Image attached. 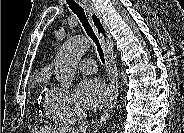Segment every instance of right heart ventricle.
I'll return each instance as SVG.
<instances>
[{"instance_id": "e07e8e85", "label": "right heart ventricle", "mask_w": 184, "mask_h": 133, "mask_svg": "<svg viewBox=\"0 0 184 133\" xmlns=\"http://www.w3.org/2000/svg\"><path fill=\"white\" fill-rule=\"evenodd\" d=\"M45 77V74H42V78ZM44 109L46 111V113L54 120V121H58L55 116L52 114V112L50 111L48 105H47V102H46V99H45V102H44Z\"/></svg>"}]
</instances>
